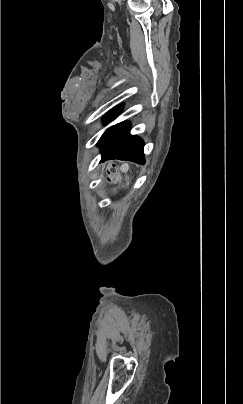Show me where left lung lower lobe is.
Returning a JSON list of instances; mask_svg holds the SVG:
<instances>
[{"instance_id": "0a47b994", "label": "left lung lower lobe", "mask_w": 243, "mask_h": 404, "mask_svg": "<svg viewBox=\"0 0 243 404\" xmlns=\"http://www.w3.org/2000/svg\"><path fill=\"white\" fill-rule=\"evenodd\" d=\"M121 106L113 108L106 116V121L113 120L120 112ZM130 124L121 122L110 127L98 141L103 150L102 162L110 159L129 160L139 164L144 163L143 141L129 134Z\"/></svg>"}]
</instances>
